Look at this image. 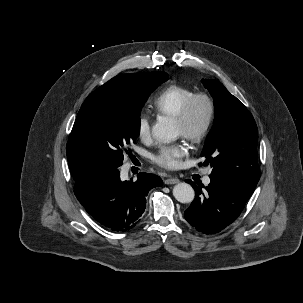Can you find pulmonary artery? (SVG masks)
Wrapping results in <instances>:
<instances>
[{
    "mask_svg": "<svg viewBox=\"0 0 303 303\" xmlns=\"http://www.w3.org/2000/svg\"><path fill=\"white\" fill-rule=\"evenodd\" d=\"M203 182H204L205 185L210 184V182H211L210 177L209 176H205L204 179H203Z\"/></svg>",
    "mask_w": 303,
    "mask_h": 303,
    "instance_id": "1",
    "label": "pulmonary artery"
}]
</instances>
